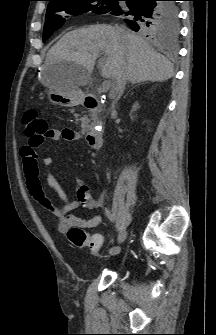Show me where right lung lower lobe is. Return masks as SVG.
Returning a JSON list of instances; mask_svg holds the SVG:
<instances>
[{"label": "right lung lower lobe", "mask_w": 216, "mask_h": 335, "mask_svg": "<svg viewBox=\"0 0 216 335\" xmlns=\"http://www.w3.org/2000/svg\"><path fill=\"white\" fill-rule=\"evenodd\" d=\"M110 13L121 15L134 31L160 34L178 26V11L168 6L171 0H120Z\"/></svg>", "instance_id": "right-lung-lower-lobe-1"}]
</instances>
